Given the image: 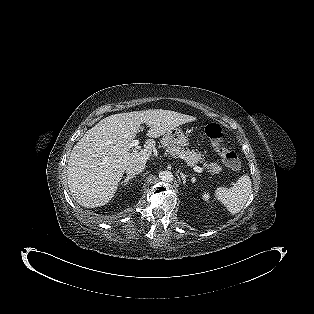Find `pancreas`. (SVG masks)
I'll return each mask as SVG.
<instances>
[{
    "mask_svg": "<svg viewBox=\"0 0 314 314\" xmlns=\"http://www.w3.org/2000/svg\"><path fill=\"white\" fill-rule=\"evenodd\" d=\"M163 146L166 147V154L185 160L190 167H193L198 162L203 161L201 154L199 152H195L194 150H185L174 144H163ZM207 169L214 174H218L222 170L221 166H219L217 163H211L207 165Z\"/></svg>",
    "mask_w": 314,
    "mask_h": 314,
    "instance_id": "obj_1",
    "label": "pancreas"
}]
</instances>
